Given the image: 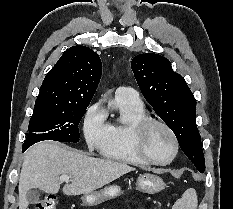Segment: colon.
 Listing matches in <instances>:
<instances>
[{"label": "colon", "instance_id": "colon-1", "mask_svg": "<svg viewBox=\"0 0 233 209\" xmlns=\"http://www.w3.org/2000/svg\"><path fill=\"white\" fill-rule=\"evenodd\" d=\"M57 199L55 197H48L39 201L35 209H56Z\"/></svg>", "mask_w": 233, "mask_h": 209}]
</instances>
